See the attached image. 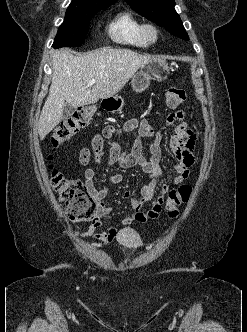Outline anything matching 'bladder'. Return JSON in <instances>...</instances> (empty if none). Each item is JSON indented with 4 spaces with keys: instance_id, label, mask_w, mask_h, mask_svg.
I'll return each mask as SVG.
<instances>
[{
    "instance_id": "obj_1",
    "label": "bladder",
    "mask_w": 247,
    "mask_h": 332,
    "mask_svg": "<svg viewBox=\"0 0 247 332\" xmlns=\"http://www.w3.org/2000/svg\"><path fill=\"white\" fill-rule=\"evenodd\" d=\"M137 241H138L137 237H136V236H132V237L127 241V243H128L129 245H134V244L137 243Z\"/></svg>"
}]
</instances>
